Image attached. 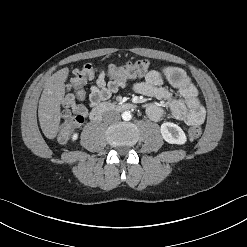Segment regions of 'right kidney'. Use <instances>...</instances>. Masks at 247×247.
I'll return each instance as SVG.
<instances>
[{
	"label": "right kidney",
	"instance_id": "1",
	"mask_svg": "<svg viewBox=\"0 0 247 247\" xmlns=\"http://www.w3.org/2000/svg\"><path fill=\"white\" fill-rule=\"evenodd\" d=\"M77 138H78V134H77V133H74V134L72 135V141L77 140Z\"/></svg>",
	"mask_w": 247,
	"mask_h": 247
}]
</instances>
